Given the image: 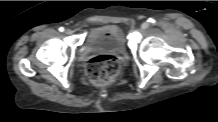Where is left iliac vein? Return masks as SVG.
Returning a JSON list of instances; mask_svg holds the SVG:
<instances>
[{
  "label": "left iliac vein",
  "mask_w": 218,
  "mask_h": 122,
  "mask_svg": "<svg viewBox=\"0 0 218 122\" xmlns=\"http://www.w3.org/2000/svg\"><path fill=\"white\" fill-rule=\"evenodd\" d=\"M150 26V24L148 22H143L141 25L142 29H147Z\"/></svg>",
  "instance_id": "4c4485c4"
}]
</instances>
